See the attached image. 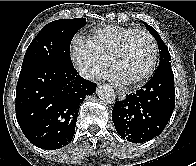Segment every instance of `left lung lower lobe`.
<instances>
[{"mask_svg": "<svg viewBox=\"0 0 196 166\" xmlns=\"http://www.w3.org/2000/svg\"><path fill=\"white\" fill-rule=\"evenodd\" d=\"M117 101L112 120L125 140L141 143L158 136L175 108L174 75L170 61L160 63L150 81Z\"/></svg>", "mask_w": 196, "mask_h": 166, "instance_id": "1", "label": "left lung lower lobe"}]
</instances>
